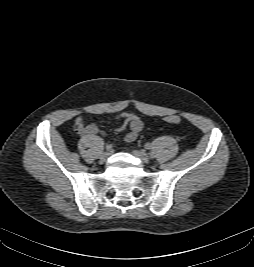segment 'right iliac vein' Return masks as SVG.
Masks as SVG:
<instances>
[{"label":"right iliac vein","mask_w":254,"mask_h":267,"mask_svg":"<svg viewBox=\"0 0 254 267\" xmlns=\"http://www.w3.org/2000/svg\"><path fill=\"white\" fill-rule=\"evenodd\" d=\"M110 155V151H105L103 153H101L100 157H99V160L101 163L105 162L107 160V158L109 157Z\"/></svg>","instance_id":"obj_1"}]
</instances>
